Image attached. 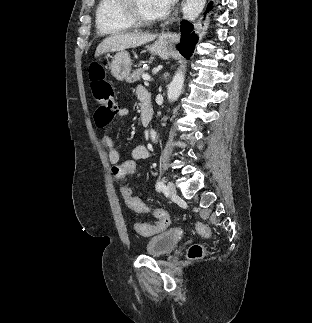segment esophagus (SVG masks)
I'll return each mask as SVG.
<instances>
[{
  "instance_id": "1",
  "label": "esophagus",
  "mask_w": 312,
  "mask_h": 323,
  "mask_svg": "<svg viewBox=\"0 0 312 323\" xmlns=\"http://www.w3.org/2000/svg\"><path fill=\"white\" fill-rule=\"evenodd\" d=\"M163 38L165 40L171 41V42H175L177 43L180 39L179 35L177 33H171V32H167L163 35Z\"/></svg>"
}]
</instances>
